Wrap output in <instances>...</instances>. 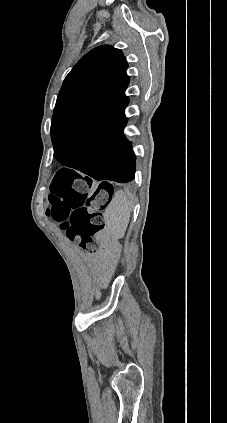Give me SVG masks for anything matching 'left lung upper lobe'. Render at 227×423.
<instances>
[{
    "instance_id": "5c2ea615",
    "label": "left lung upper lobe",
    "mask_w": 227,
    "mask_h": 423,
    "mask_svg": "<svg viewBox=\"0 0 227 423\" xmlns=\"http://www.w3.org/2000/svg\"><path fill=\"white\" fill-rule=\"evenodd\" d=\"M128 67L123 53L110 45L84 55L66 76L51 123L53 143L109 114L123 112L129 99Z\"/></svg>"
}]
</instances>
